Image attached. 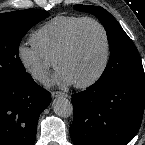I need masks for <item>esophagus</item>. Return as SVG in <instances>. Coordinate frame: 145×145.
I'll use <instances>...</instances> for the list:
<instances>
[{"mask_svg":"<svg viewBox=\"0 0 145 145\" xmlns=\"http://www.w3.org/2000/svg\"><path fill=\"white\" fill-rule=\"evenodd\" d=\"M51 96L53 98L59 97V96H64V97H68V95L66 93H63L61 91H52L51 92Z\"/></svg>","mask_w":145,"mask_h":145,"instance_id":"esophagus-1","label":"esophagus"}]
</instances>
